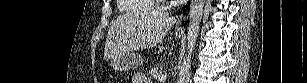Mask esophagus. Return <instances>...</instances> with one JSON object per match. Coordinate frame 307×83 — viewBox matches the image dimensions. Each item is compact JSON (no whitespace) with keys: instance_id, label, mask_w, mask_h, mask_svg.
<instances>
[{"instance_id":"1","label":"esophagus","mask_w":307,"mask_h":83,"mask_svg":"<svg viewBox=\"0 0 307 83\" xmlns=\"http://www.w3.org/2000/svg\"><path fill=\"white\" fill-rule=\"evenodd\" d=\"M177 27H178L179 29H183V25H182L181 21L178 22Z\"/></svg>"}]
</instances>
